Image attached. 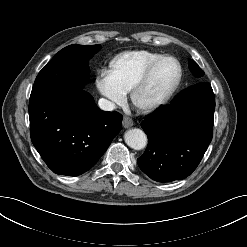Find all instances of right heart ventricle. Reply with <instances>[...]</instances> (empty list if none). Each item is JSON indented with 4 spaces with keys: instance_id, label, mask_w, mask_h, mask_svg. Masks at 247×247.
Instances as JSON below:
<instances>
[{
    "instance_id": "right-heart-ventricle-1",
    "label": "right heart ventricle",
    "mask_w": 247,
    "mask_h": 247,
    "mask_svg": "<svg viewBox=\"0 0 247 247\" xmlns=\"http://www.w3.org/2000/svg\"><path fill=\"white\" fill-rule=\"evenodd\" d=\"M160 56L148 50L124 52L111 61L110 73L116 84L129 92L147 66Z\"/></svg>"
}]
</instances>
